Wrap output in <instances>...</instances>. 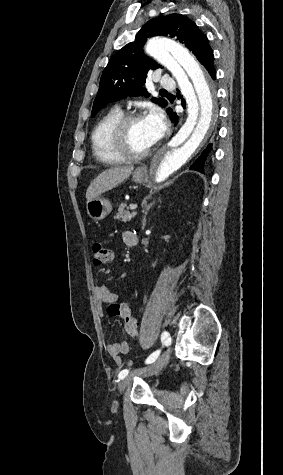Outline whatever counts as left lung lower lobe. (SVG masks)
<instances>
[{
  "mask_svg": "<svg viewBox=\"0 0 283 475\" xmlns=\"http://www.w3.org/2000/svg\"><path fill=\"white\" fill-rule=\"evenodd\" d=\"M213 61H214V55H213V52L211 51V54L209 55V57L205 60V62L202 65H204V67L207 69V71L209 72L212 79H215L216 76H215V68L213 66ZM167 110H168V113H169L172 121L176 122L177 119H178L177 114L174 113L170 108H167ZM210 149H211V144L203 152L202 156L200 158H198L195 163H193V165L190 167V169L203 172V162H204V159H205V155L208 153V150H210Z\"/></svg>",
  "mask_w": 283,
  "mask_h": 475,
  "instance_id": "obj_1",
  "label": "left lung lower lobe"
}]
</instances>
